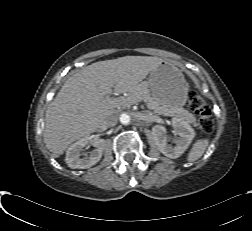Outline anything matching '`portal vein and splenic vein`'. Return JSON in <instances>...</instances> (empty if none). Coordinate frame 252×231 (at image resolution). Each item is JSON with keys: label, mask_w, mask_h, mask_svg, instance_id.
Returning a JSON list of instances; mask_svg holds the SVG:
<instances>
[{"label": "portal vein and splenic vein", "mask_w": 252, "mask_h": 231, "mask_svg": "<svg viewBox=\"0 0 252 231\" xmlns=\"http://www.w3.org/2000/svg\"><path fill=\"white\" fill-rule=\"evenodd\" d=\"M105 102H108V103H115V102H119V103H122L125 101L124 98H115V99H112L110 96H106L105 99H104Z\"/></svg>", "instance_id": "portal-vein-and-splenic-vein-1"}]
</instances>
